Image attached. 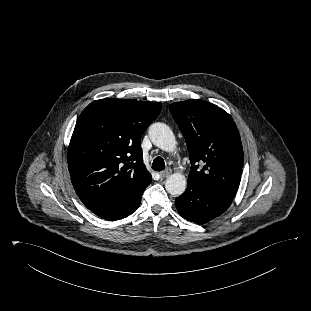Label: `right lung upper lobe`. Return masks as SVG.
<instances>
[{"label":"right lung upper lobe","instance_id":"1","mask_svg":"<svg viewBox=\"0 0 311 311\" xmlns=\"http://www.w3.org/2000/svg\"><path fill=\"white\" fill-rule=\"evenodd\" d=\"M161 108L159 102L101 99L83 110L68 147V165L84 205L122 208L142 196L152 177L140 137Z\"/></svg>","mask_w":311,"mask_h":311}]
</instances>
